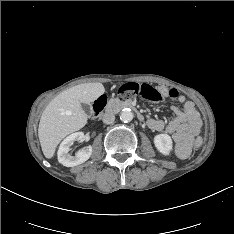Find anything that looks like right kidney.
Wrapping results in <instances>:
<instances>
[{
  "label": "right kidney",
  "mask_w": 234,
  "mask_h": 234,
  "mask_svg": "<svg viewBox=\"0 0 234 234\" xmlns=\"http://www.w3.org/2000/svg\"><path fill=\"white\" fill-rule=\"evenodd\" d=\"M84 140H85V135L83 132H75L69 135L68 137H66L62 141L58 149L57 157L59 163H61L66 167H74L87 161L92 154L91 146H87L85 148L78 150L75 156L69 154L71 146L74 144V142L84 141Z\"/></svg>",
  "instance_id": "1"
}]
</instances>
